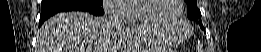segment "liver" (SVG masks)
I'll list each match as a JSON object with an SVG mask.
<instances>
[{"instance_id":"1","label":"liver","mask_w":261,"mask_h":52,"mask_svg":"<svg viewBox=\"0 0 261 52\" xmlns=\"http://www.w3.org/2000/svg\"><path fill=\"white\" fill-rule=\"evenodd\" d=\"M158 34L162 36L160 31L143 26L124 29L110 24L108 17H94L85 12L59 13L41 26L37 52H120L117 50L124 40L141 47L149 44L151 35Z\"/></svg>"}]
</instances>
